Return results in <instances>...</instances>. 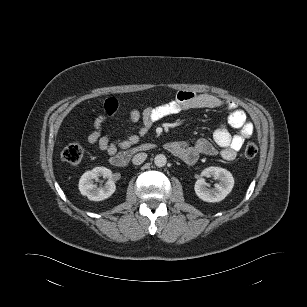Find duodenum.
Segmentation results:
<instances>
[{
    "instance_id": "1",
    "label": "duodenum",
    "mask_w": 307,
    "mask_h": 307,
    "mask_svg": "<svg viewBox=\"0 0 307 307\" xmlns=\"http://www.w3.org/2000/svg\"><path fill=\"white\" fill-rule=\"evenodd\" d=\"M152 148H154V145L151 143H142L136 146H133L127 150H124L122 152H119L118 154H116L115 156L111 157L110 159V163L117 168H123L126 167L132 156L136 153L139 152H145V151H149Z\"/></svg>"
}]
</instances>
